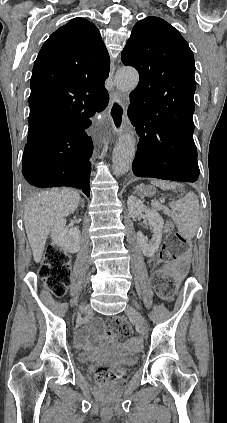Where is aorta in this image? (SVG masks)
<instances>
[{
  "label": "aorta",
  "instance_id": "obj_1",
  "mask_svg": "<svg viewBox=\"0 0 227 423\" xmlns=\"http://www.w3.org/2000/svg\"><path fill=\"white\" fill-rule=\"evenodd\" d=\"M139 81L138 72L132 67H123L118 70L115 76V84L121 93H130L136 88ZM136 150V143L133 133H123L114 147L112 154L113 172L122 175L131 168Z\"/></svg>",
  "mask_w": 227,
  "mask_h": 423
}]
</instances>
